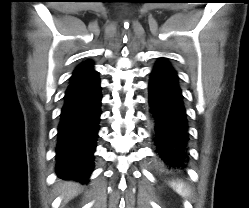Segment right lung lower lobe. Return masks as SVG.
Returning <instances> with one entry per match:
<instances>
[{"label": "right lung lower lobe", "instance_id": "98d812e1", "mask_svg": "<svg viewBox=\"0 0 249 208\" xmlns=\"http://www.w3.org/2000/svg\"><path fill=\"white\" fill-rule=\"evenodd\" d=\"M101 98L97 72L69 84L57 134L56 171L59 178L88 182L94 166Z\"/></svg>", "mask_w": 249, "mask_h": 208}]
</instances>
